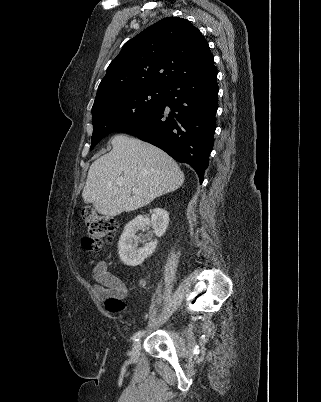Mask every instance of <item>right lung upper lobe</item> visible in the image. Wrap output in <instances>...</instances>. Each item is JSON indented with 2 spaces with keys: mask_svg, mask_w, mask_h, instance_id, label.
Instances as JSON below:
<instances>
[{
  "mask_svg": "<svg viewBox=\"0 0 321 402\" xmlns=\"http://www.w3.org/2000/svg\"><path fill=\"white\" fill-rule=\"evenodd\" d=\"M214 63L198 28L167 17L129 40L110 63L94 104L113 95L145 88H166L175 80Z\"/></svg>",
  "mask_w": 321,
  "mask_h": 402,
  "instance_id": "right-lung-upper-lobe-1",
  "label": "right lung upper lobe"
}]
</instances>
